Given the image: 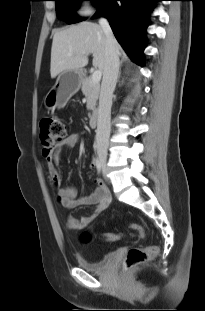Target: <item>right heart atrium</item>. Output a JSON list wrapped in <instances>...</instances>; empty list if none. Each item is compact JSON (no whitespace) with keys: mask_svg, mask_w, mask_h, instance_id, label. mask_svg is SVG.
<instances>
[{"mask_svg":"<svg viewBox=\"0 0 205 311\" xmlns=\"http://www.w3.org/2000/svg\"><path fill=\"white\" fill-rule=\"evenodd\" d=\"M93 10L94 8L88 2H84L81 7V12L83 14H90Z\"/></svg>","mask_w":205,"mask_h":311,"instance_id":"right-heart-atrium-1","label":"right heart atrium"}]
</instances>
